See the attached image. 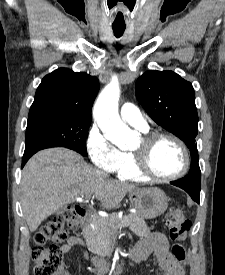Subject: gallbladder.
Here are the masks:
<instances>
[{
    "label": "gallbladder",
    "mask_w": 225,
    "mask_h": 275,
    "mask_svg": "<svg viewBox=\"0 0 225 275\" xmlns=\"http://www.w3.org/2000/svg\"><path fill=\"white\" fill-rule=\"evenodd\" d=\"M63 211H64V207L58 209V210L56 211V214H61V213H63Z\"/></svg>",
    "instance_id": "bac80fb5"
}]
</instances>
